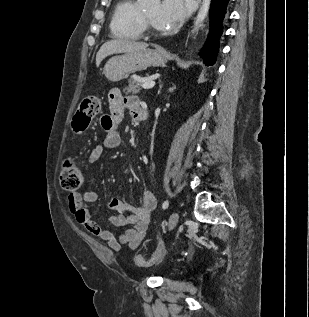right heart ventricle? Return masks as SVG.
<instances>
[{
	"mask_svg": "<svg viewBox=\"0 0 309 317\" xmlns=\"http://www.w3.org/2000/svg\"><path fill=\"white\" fill-rule=\"evenodd\" d=\"M141 10L136 0H119L111 20V31L115 37L137 40L144 34Z\"/></svg>",
	"mask_w": 309,
	"mask_h": 317,
	"instance_id": "e07e8e85",
	"label": "right heart ventricle"
}]
</instances>
